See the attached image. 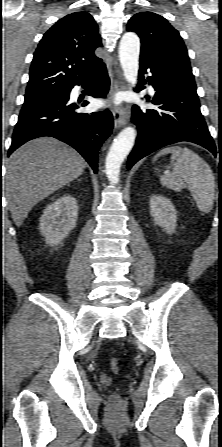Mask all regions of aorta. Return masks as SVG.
I'll use <instances>...</instances> for the list:
<instances>
[{
    "mask_svg": "<svg viewBox=\"0 0 222 447\" xmlns=\"http://www.w3.org/2000/svg\"><path fill=\"white\" fill-rule=\"evenodd\" d=\"M140 39L133 32L125 33L120 41L119 60L125 79L134 87L139 69ZM136 138L134 127L124 128L113 141L105 161L108 180L112 184L119 182L120 168L131 151Z\"/></svg>",
    "mask_w": 222,
    "mask_h": 447,
    "instance_id": "aorta-1",
    "label": "aorta"
}]
</instances>
